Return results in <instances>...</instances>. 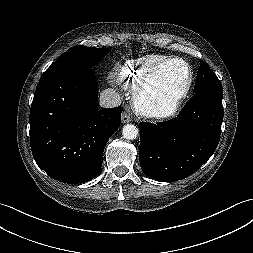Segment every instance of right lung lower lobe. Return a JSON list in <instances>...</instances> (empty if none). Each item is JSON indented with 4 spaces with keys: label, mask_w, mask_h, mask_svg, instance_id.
<instances>
[{
    "label": "right lung lower lobe",
    "mask_w": 253,
    "mask_h": 253,
    "mask_svg": "<svg viewBox=\"0 0 253 253\" xmlns=\"http://www.w3.org/2000/svg\"><path fill=\"white\" fill-rule=\"evenodd\" d=\"M97 99V81L87 67L40 79L29 117L30 144L36 163L53 179L78 184L99 173L122 108L98 109Z\"/></svg>",
    "instance_id": "98d812e1"
}]
</instances>
